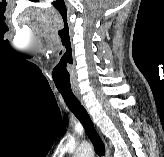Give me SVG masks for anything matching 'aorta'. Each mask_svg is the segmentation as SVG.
<instances>
[{
    "mask_svg": "<svg viewBox=\"0 0 164 157\" xmlns=\"http://www.w3.org/2000/svg\"><path fill=\"white\" fill-rule=\"evenodd\" d=\"M94 150L90 143H83L76 151L74 157H93Z\"/></svg>",
    "mask_w": 164,
    "mask_h": 157,
    "instance_id": "obj_1",
    "label": "aorta"
}]
</instances>
